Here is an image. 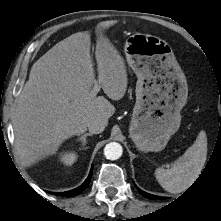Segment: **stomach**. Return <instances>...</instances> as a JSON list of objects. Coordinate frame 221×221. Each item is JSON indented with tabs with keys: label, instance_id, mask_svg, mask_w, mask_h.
<instances>
[{
	"label": "stomach",
	"instance_id": "obj_1",
	"mask_svg": "<svg viewBox=\"0 0 221 221\" xmlns=\"http://www.w3.org/2000/svg\"><path fill=\"white\" fill-rule=\"evenodd\" d=\"M124 52L137 76L130 138L140 151H161L179 129L188 96L186 77L170 45L159 37L135 33Z\"/></svg>",
	"mask_w": 221,
	"mask_h": 221
}]
</instances>
